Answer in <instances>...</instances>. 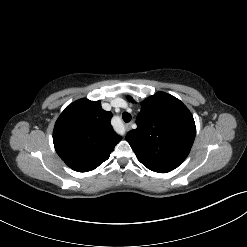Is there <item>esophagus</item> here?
I'll return each mask as SVG.
<instances>
[{
    "label": "esophagus",
    "mask_w": 247,
    "mask_h": 247,
    "mask_svg": "<svg viewBox=\"0 0 247 247\" xmlns=\"http://www.w3.org/2000/svg\"><path fill=\"white\" fill-rule=\"evenodd\" d=\"M125 129L126 130H129L130 129V124L129 123L125 125Z\"/></svg>",
    "instance_id": "34e87169"
}]
</instances>
